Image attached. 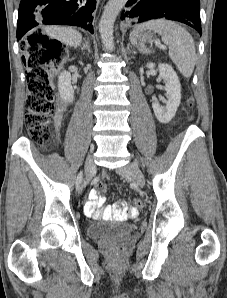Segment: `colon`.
<instances>
[{
    "label": "colon",
    "mask_w": 227,
    "mask_h": 298,
    "mask_svg": "<svg viewBox=\"0 0 227 298\" xmlns=\"http://www.w3.org/2000/svg\"><path fill=\"white\" fill-rule=\"evenodd\" d=\"M33 48L27 50V90L25 125L30 136L39 146H44L50 139V123L54 112L55 91L50 82L46 66L50 63L49 52L52 41L45 35L37 33L32 38ZM192 99L188 105L192 106ZM106 185L102 182L96 185V190L104 191ZM142 207V202H136ZM116 253L122 247H116Z\"/></svg>",
    "instance_id": "obj_1"
}]
</instances>
